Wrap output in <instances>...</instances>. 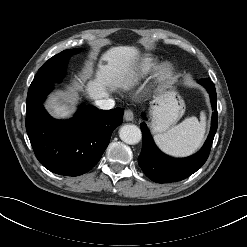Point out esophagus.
<instances>
[{"mask_svg":"<svg viewBox=\"0 0 247 247\" xmlns=\"http://www.w3.org/2000/svg\"><path fill=\"white\" fill-rule=\"evenodd\" d=\"M134 119L133 111L130 109L125 110L124 112V120L125 121H132Z\"/></svg>","mask_w":247,"mask_h":247,"instance_id":"1","label":"esophagus"}]
</instances>
